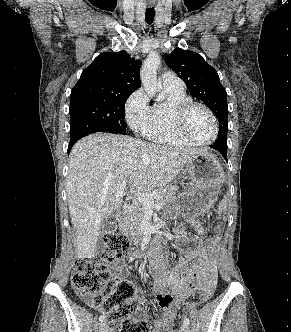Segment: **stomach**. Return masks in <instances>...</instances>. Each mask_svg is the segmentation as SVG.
<instances>
[{"mask_svg":"<svg viewBox=\"0 0 291 332\" xmlns=\"http://www.w3.org/2000/svg\"><path fill=\"white\" fill-rule=\"evenodd\" d=\"M185 173L189 176L191 186L172 201V204L185 203L195 214L210 208L216 201L224 173L214 154L209 151L201 152L191 158Z\"/></svg>","mask_w":291,"mask_h":332,"instance_id":"obj_1","label":"stomach"}]
</instances>
